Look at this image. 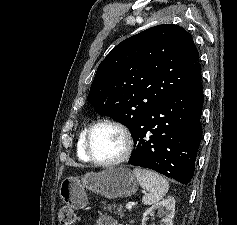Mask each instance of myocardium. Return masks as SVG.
Segmentation results:
<instances>
[{"label": "myocardium", "mask_w": 237, "mask_h": 225, "mask_svg": "<svg viewBox=\"0 0 237 225\" xmlns=\"http://www.w3.org/2000/svg\"><path fill=\"white\" fill-rule=\"evenodd\" d=\"M100 126L113 127L115 129H117L123 136L124 149H123L121 155L118 156L117 158H114L111 160H100L93 155V153L91 151V145H90L91 137H92L93 132L96 130V128H98ZM84 151H85V154L88 157V159L96 165L106 166V167L116 166V165H119V164L125 162L130 157V155L133 151V138H132V135H131L130 131L128 130V128L126 126H124L123 124H121L120 122H117L112 119H101V120H98L95 123H93L88 128V130L85 134V139H84Z\"/></svg>", "instance_id": "obj_1"}]
</instances>
